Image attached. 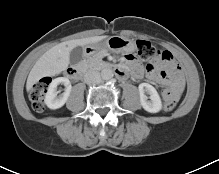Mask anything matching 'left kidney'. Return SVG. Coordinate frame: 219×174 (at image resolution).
Returning <instances> with one entry per match:
<instances>
[{"label": "left kidney", "instance_id": "left-kidney-1", "mask_svg": "<svg viewBox=\"0 0 219 174\" xmlns=\"http://www.w3.org/2000/svg\"><path fill=\"white\" fill-rule=\"evenodd\" d=\"M138 88L140 93V103L144 110L150 113L159 112L162 109V102L156 89L148 83H141ZM145 93L150 95V101L147 100L148 97Z\"/></svg>", "mask_w": 219, "mask_h": 174}]
</instances>
